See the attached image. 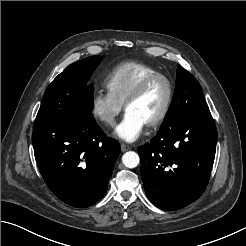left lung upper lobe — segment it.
<instances>
[{"label":"left lung upper lobe","mask_w":246,"mask_h":246,"mask_svg":"<svg viewBox=\"0 0 246 246\" xmlns=\"http://www.w3.org/2000/svg\"><path fill=\"white\" fill-rule=\"evenodd\" d=\"M206 110L209 108L204 100L199 82L191 73L178 65L175 93L161 128L169 126L179 117Z\"/></svg>","instance_id":"obj_1"}]
</instances>
